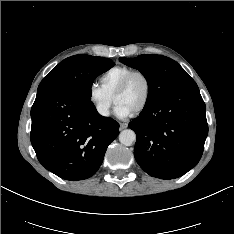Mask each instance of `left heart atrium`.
<instances>
[{"label":"left heart atrium","mask_w":234,"mask_h":234,"mask_svg":"<svg viewBox=\"0 0 234 234\" xmlns=\"http://www.w3.org/2000/svg\"><path fill=\"white\" fill-rule=\"evenodd\" d=\"M114 112L116 116L119 118H126L131 114V112L128 109H126L125 107L121 105H116Z\"/></svg>","instance_id":"obj_1"}]
</instances>
